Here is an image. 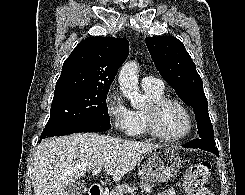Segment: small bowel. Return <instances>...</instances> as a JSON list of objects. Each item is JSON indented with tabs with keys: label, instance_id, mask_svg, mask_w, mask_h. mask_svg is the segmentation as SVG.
I'll return each mask as SVG.
<instances>
[{
	"label": "small bowel",
	"instance_id": "c3829d8e",
	"mask_svg": "<svg viewBox=\"0 0 245 195\" xmlns=\"http://www.w3.org/2000/svg\"><path fill=\"white\" fill-rule=\"evenodd\" d=\"M156 195H175V192L173 189L169 188V189H166V190H164V191H162Z\"/></svg>",
	"mask_w": 245,
	"mask_h": 195
}]
</instances>
